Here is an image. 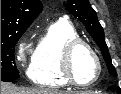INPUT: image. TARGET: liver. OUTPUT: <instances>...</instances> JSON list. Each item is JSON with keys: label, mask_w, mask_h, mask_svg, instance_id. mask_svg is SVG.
I'll list each match as a JSON object with an SVG mask.
<instances>
[{"label": "liver", "mask_w": 121, "mask_h": 94, "mask_svg": "<svg viewBox=\"0 0 121 94\" xmlns=\"http://www.w3.org/2000/svg\"><path fill=\"white\" fill-rule=\"evenodd\" d=\"M1 94H67V93H64L62 91L44 89V88H39V89L19 88L16 87L14 84L1 82Z\"/></svg>", "instance_id": "1"}]
</instances>
